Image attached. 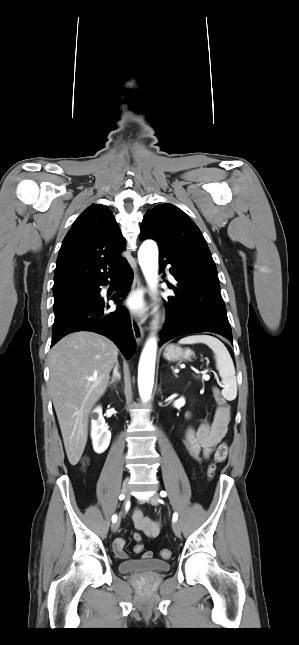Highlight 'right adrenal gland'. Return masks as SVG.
Returning <instances> with one entry per match:
<instances>
[{"mask_svg": "<svg viewBox=\"0 0 299 645\" xmlns=\"http://www.w3.org/2000/svg\"><path fill=\"white\" fill-rule=\"evenodd\" d=\"M121 380V375L119 372V363L118 361L115 364L114 370H113V375L111 377V381L109 383V386H115V383Z\"/></svg>", "mask_w": 299, "mask_h": 645, "instance_id": "2a0ac1e0", "label": "right adrenal gland"}]
</instances>
